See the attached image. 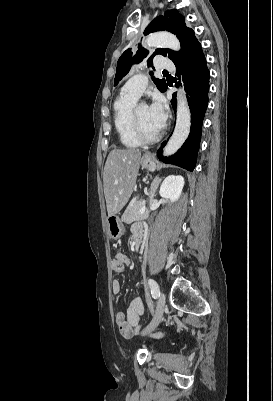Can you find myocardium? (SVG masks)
I'll return each instance as SVG.
<instances>
[{
	"instance_id": "1",
	"label": "myocardium",
	"mask_w": 273,
	"mask_h": 401,
	"mask_svg": "<svg viewBox=\"0 0 273 401\" xmlns=\"http://www.w3.org/2000/svg\"><path fill=\"white\" fill-rule=\"evenodd\" d=\"M131 123L132 129L136 137L143 143H153L156 142L162 135L159 130L155 134H147L141 127L138 117H137V106H134L131 111Z\"/></svg>"
}]
</instances>
